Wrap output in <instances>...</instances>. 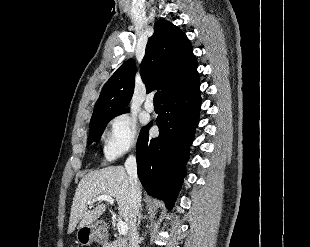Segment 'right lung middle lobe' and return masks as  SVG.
Returning <instances> with one entry per match:
<instances>
[{
  "label": "right lung middle lobe",
  "instance_id": "dd1d6c3e",
  "mask_svg": "<svg viewBox=\"0 0 310 247\" xmlns=\"http://www.w3.org/2000/svg\"><path fill=\"white\" fill-rule=\"evenodd\" d=\"M115 116H117V115L103 117V118L97 119L96 121L90 123L89 143L99 140V138L101 137L107 123L110 120H112Z\"/></svg>",
  "mask_w": 310,
  "mask_h": 247
}]
</instances>
